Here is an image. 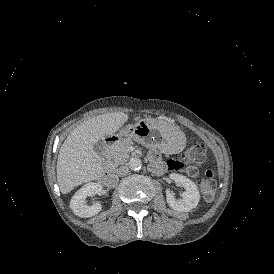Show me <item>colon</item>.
Listing matches in <instances>:
<instances>
[{
  "mask_svg": "<svg viewBox=\"0 0 274 274\" xmlns=\"http://www.w3.org/2000/svg\"><path fill=\"white\" fill-rule=\"evenodd\" d=\"M206 157V147L201 142L192 143L185 151L172 159L173 168L184 169L187 173L195 174L197 165L204 163ZM180 160L186 161L189 165L185 166ZM200 185L206 200H212L215 194L216 181L212 169L208 168L200 178Z\"/></svg>",
  "mask_w": 274,
  "mask_h": 274,
  "instance_id": "1",
  "label": "colon"
}]
</instances>
